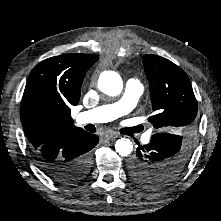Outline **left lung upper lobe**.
<instances>
[{
	"instance_id": "obj_1",
	"label": "left lung upper lobe",
	"mask_w": 221,
	"mask_h": 221,
	"mask_svg": "<svg viewBox=\"0 0 221 221\" xmlns=\"http://www.w3.org/2000/svg\"><path fill=\"white\" fill-rule=\"evenodd\" d=\"M142 60L154 111L148 121L161 132L173 135V139L164 142L158 163L160 172L143 173L139 183L161 187L176 179L191 158L198 126V103L181 68L157 55H144Z\"/></svg>"
}]
</instances>
